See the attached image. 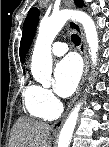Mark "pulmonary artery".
<instances>
[{
	"label": "pulmonary artery",
	"mask_w": 109,
	"mask_h": 147,
	"mask_svg": "<svg viewBox=\"0 0 109 147\" xmlns=\"http://www.w3.org/2000/svg\"><path fill=\"white\" fill-rule=\"evenodd\" d=\"M52 54L55 56H62L67 53L68 46L63 41H56L52 46Z\"/></svg>",
	"instance_id": "pulmonary-artery-1"
}]
</instances>
